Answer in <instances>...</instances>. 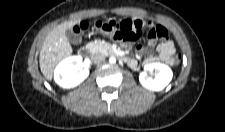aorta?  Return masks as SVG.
Listing matches in <instances>:
<instances>
[{"label":"aorta","mask_w":225,"mask_h":132,"mask_svg":"<svg viewBox=\"0 0 225 132\" xmlns=\"http://www.w3.org/2000/svg\"><path fill=\"white\" fill-rule=\"evenodd\" d=\"M109 62H110L111 64H114V63L116 62V59H115L114 57H111V58L109 59Z\"/></svg>","instance_id":"aorta-1"}]
</instances>
